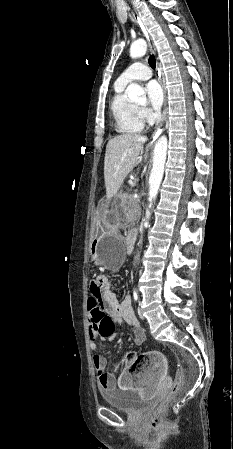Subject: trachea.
Instances as JSON below:
<instances>
[{
	"mask_svg": "<svg viewBox=\"0 0 233 449\" xmlns=\"http://www.w3.org/2000/svg\"><path fill=\"white\" fill-rule=\"evenodd\" d=\"M149 64H150V66H151V68H153V69H155V66H156V59H155V57H154V55H151L150 57H149Z\"/></svg>",
	"mask_w": 233,
	"mask_h": 449,
	"instance_id": "1",
	"label": "trachea"
}]
</instances>
